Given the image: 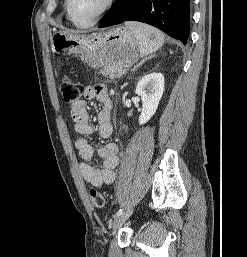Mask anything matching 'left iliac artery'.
Instances as JSON below:
<instances>
[{"instance_id": "1", "label": "left iliac artery", "mask_w": 247, "mask_h": 257, "mask_svg": "<svg viewBox=\"0 0 247 257\" xmlns=\"http://www.w3.org/2000/svg\"><path fill=\"white\" fill-rule=\"evenodd\" d=\"M122 213H123V210H122V209H119V210L116 212V214H115L114 217H117V216L121 215Z\"/></svg>"}]
</instances>
